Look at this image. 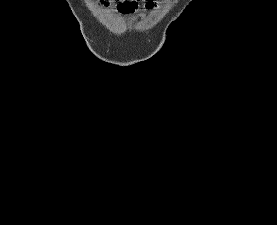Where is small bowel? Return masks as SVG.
<instances>
[{
    "label": "small bowel",
    "mask_w": 277,
    "mask_h": 225,
    "mask_svg": "<svg viewBox=\"0 0 277 225\" xmlns=\"http://www.w3.org/2000/svg\"><path fill=\"white\" fill-rule=\"evenodd\" d=\"M146 6H148L149 8H153L154 7V3L153 2H149Z\"/></svg>",
    "instance_id": "1"
}]
</instances>
